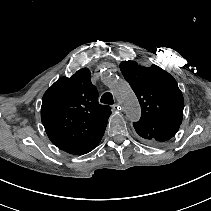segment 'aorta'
<instances>
[{
    "label": "aorta",
    "mask_w": 211,
    "mask_h": 211,
    "mask_svg": "<svg viewBox=\"0 0 211 211\" xmlns=\"http://www.w3.org/2000/svg\"><path fill=\"white\" fill-rule=\"evenodd\" d=\"M111 89L117 100L124 106L127 117L137 121L140 117V107L129 84L124 80H117L111 84Z\"/></svg>",
    "instance_id": "obj_1"
}]
</instances>
